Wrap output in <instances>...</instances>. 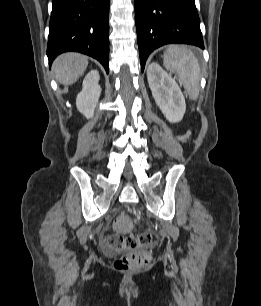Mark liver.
I'll list each match as a JSON object with an SVG mask.
<instances>
[{"label":"liver","mask_w":261,"mask_h":306,"mask_svg":"<svg viewBox=\"0 0 261 306\" xmlns=\"http://www.w3.org/2000/svg\"><path fill=\"white\" fill-rule=\"evenodd\" d=\"M88 58L78 53H66L53 63L56 80L63 85L75 83L85 72Z\"/></svg>","instance_id":"1"}]
</instances>
